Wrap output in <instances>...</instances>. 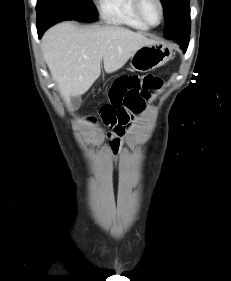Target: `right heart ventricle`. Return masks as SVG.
I'll use <instances>...</instances> for the list:
<instances>
[{"instance_id": "obj_1", "label": "right heart ventricle", "mask_w": 231, "mask_h": 281, "mask_svg": "<svg viewBox=\"0 0 231 281\" xmlns=\"http://www.w3.org/2000/svg\"><path fill=\"white\" fill-rule=\"evenodd\" d=\"M102 19L109 24L124 25L138 30H148L135 10L134 0H98Z\"/></svg>"}]
</instances>
